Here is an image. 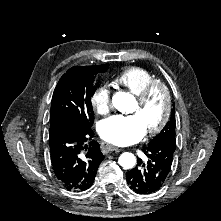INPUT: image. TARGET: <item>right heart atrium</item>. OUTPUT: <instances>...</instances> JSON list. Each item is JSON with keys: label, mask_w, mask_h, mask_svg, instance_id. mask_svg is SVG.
Here are the masks:
<instances>
[{"label": "right heart atrium", "mask_w": 221, "mask_h": 221, "mask_svg": "<svg viewBox=\"0 0 221 221\" xmlns=\"http://www.w3.org/2000/svg\"><path fill=\"white\" fill-rule=\"evenodd\" d=\"M91 105L98 114L104 115L109 112L111 108V95L106 85L99 86L93 91Z\"/></svg>", "instance_id": "right-heart-atrium-1"}]
</instances>
